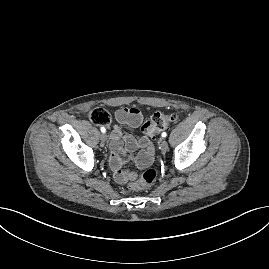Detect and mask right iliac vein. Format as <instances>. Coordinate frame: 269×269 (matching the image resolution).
<instances>
[{"label": "right iliac vein", "mask_w": 269, "mask_h": 269, "mask_svg": "<svg viewBox=\"0 0 269 269\" xmlns=\"http://www.w3.org/2000/svg\"><path fill=\"white\" fill-rule=\"evenodd\" d=\"M107 138H108V136H107L106 133H103V134H101V136H100V140H101L102 143H105L106 140H107Z\"/></svg>", "instance_id": "obj_1"}]
</instances>
